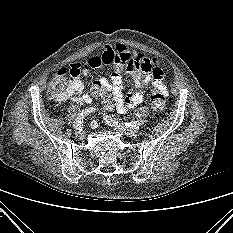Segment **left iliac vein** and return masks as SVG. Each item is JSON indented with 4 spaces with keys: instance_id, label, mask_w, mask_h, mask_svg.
<instances>
[{
    "instance_id": "4c4485c4",
    "label": "left iliac vein",
    "mask_w": 233,
    "mask_h": 233,
    "mask_svg": "<svg viewBox=\"0 0 233 233\" xmlns=\"http://www.w3.org/2000/svg\"><path fill=\"white\" fill-rule=\"evenodd\" d=\"M112 126V125H110ZM117 130H119L121 133L123 134H126V135H129L131 137H136L138 136L139 134V131L138 130H134V129H129V128H126V127H123V126H118V125H115L114 126Z\"/></svg>"
}]
</instances>
